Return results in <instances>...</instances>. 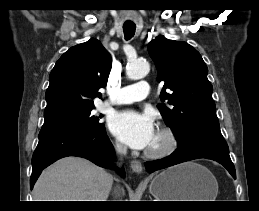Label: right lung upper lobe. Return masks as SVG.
Instances as JSON below:
<instances>
[{
    "mask_svg": "<svg viewBox=\"0 0 259 211\" xmlns=\"http://www.w3.org/2000/svg\"><path fill=\"white\" fill-rule=\"evenodd\" d=\"M110 54L97 39L70 48L56 62L45 94L44 123H51L93 109L101 98L111 70Z\"/></svg>",
    "mask_w": 259,
    "mask_h": 211,
    "instance_id": "1",
    "label": "right lung upper lobe"
}]
</instances>
